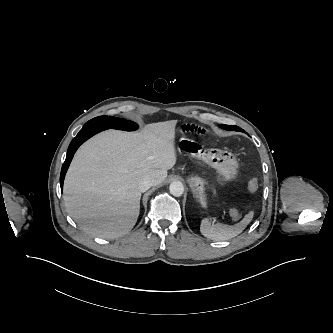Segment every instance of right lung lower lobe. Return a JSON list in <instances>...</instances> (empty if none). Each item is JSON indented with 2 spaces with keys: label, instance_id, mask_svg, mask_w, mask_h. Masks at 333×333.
Returning <instances> with one entry per match:
<instances>
[{
  "label": "right lung lower lobe",
  "instance_id": "right-lung-lower-lobe-1",
  "mask_svg": "<svg viewBox=\"0 0 333 333\" xmlns=\"http://www.w3.org/2000/svg\"><path fill=\"white\" fill-rule=\"evenodd\" d=\"M106 129H108V128L107 127H85V128H82L80 130V132L77 134V136L72 140V142L69 145L68 151H67L66 160H65V162L62 166V170H61V175H60L61 189L63 188V181H64L66 171L69 167V164H70V162L73 158V155H74L75 151L77 150V148L84 141H86L88 138H90L94 134H96V133H98L102 130H106Z\"/></svg>",
  "mask_w": 333,
  "mask_h": 333
}]
</instances>
